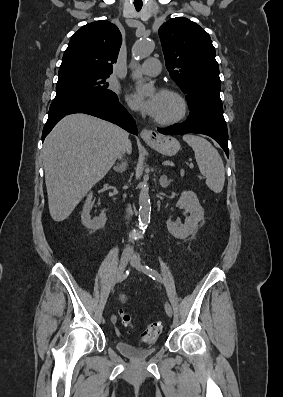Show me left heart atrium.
Wrapping results in <instances>:
<instances>
[{
	"instance_id": "left-heart-atrium-1",
	"label": "left heart atrium",
	"mask_w": 283,
	"mask_h": 397,
	"mask_svg": "<svg viewBox=\"0 0 283 397\" xmlns=\"http://www.w3.org/2000/svg\"><path fill=\"white\" fill-rule=\"evenodd\" d=\"M127 100L137 110L149 116L155 117L158 110L157 95H154L150 98H145L139 91L135 90L128 94Z\"/></svg>"
}]
</instances>
